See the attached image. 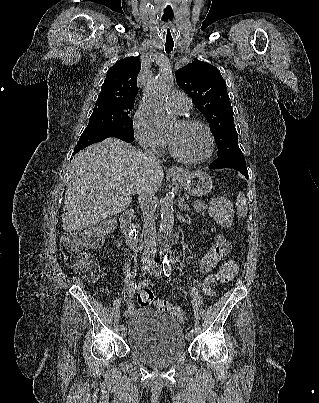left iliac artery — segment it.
I'll use <instances>...</instances> for the list:
<instances>
[{
  "label": "left iliac artery",
  "mask_w": 319,
  "mask_h": 403,
  "mask_svg": "<svg viewBox=\"0 0 319 403\" xmlns=\"http://www.w3.org/2000/svg\"><path fill=\"white\" fill-rule=\"evenodd\" d=\"M163 272H164V274H165V276L166 277H170L171 276V274H172V268H171V265H170V263L169 262H164L163 263ZM190 333H194V330L192 329L191 331H190Z\"/></svg>",
  "instance_id": "obj_1"
}]
</instances>
